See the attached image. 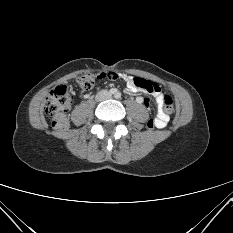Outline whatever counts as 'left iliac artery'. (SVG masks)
Returning <instances> with one entry per match:
<instances>
[{
  "instance_id": "1",
  "label": "left iliac artery",
  "mask_w": 233,
  "mask_h": 233,
  "mask_svg": "<svg viewBox=\"0 0 233 233\" xmlns=\"http://www.w3.org/2000/svg\"><path fill=\"white\" fill-rule=\"evenodd\" d=\"M120 96H121L120 93H117V94L115 95L116 98H120Z\"/></svg>"
}]
</instances>
